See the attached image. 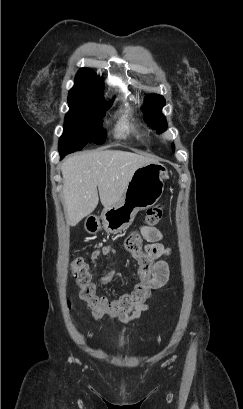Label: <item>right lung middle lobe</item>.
<instances>
[{"label":"right lung middle lobe","mask_w":243,"mask_h":409,"mask_svg":"<svg viewBox=\"0 0 243 409\" xmlns=\"http://www.w3.org/2000/svg\"><path fill=\"white\" fill-rule=\"evenodd\" d=\"M70 111L65 116L64 133L59 140L60 156L81 150L87 143L101 144L106 131L103 117L112 101H68Z\"/></svg>","instance_id":"dd1d6c3e"}]
</instances>
